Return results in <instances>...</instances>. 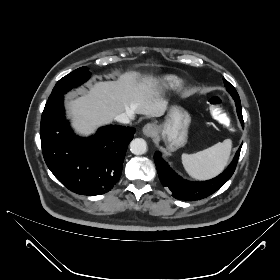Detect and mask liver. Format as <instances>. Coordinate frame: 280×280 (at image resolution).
<instances>
[{
    "instance_id": "obj_1",
    "label": "liver",
    "mask_w": 280,
    "mask_h": 280,
    "mask_svg": "<svg viewBox=\"0 0 280 280\" xmlns=\"http://www.w3.org/2000/svg\"><path fill=\"white\" fill-rule=\"evenodd\" d=\"M158 83L156 78H140L136 72L125 73L117 81L95 83L86 94L68 102L73 127L87 136L121 113L162 116L166 101Z\"/></svg>"
}]
</instances>
